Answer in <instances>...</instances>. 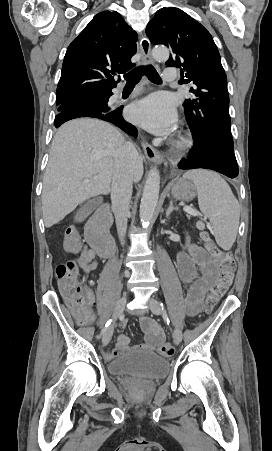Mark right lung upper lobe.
<instances>
[{"label":"right lung upper lobe","mask_w":272,"mask_h":451,"mask_svg":"<svg viewBox=\"0 0 272 451\" xmlns=\"http://www.w3.org/2000/svg\"><path fill=\"white\" fill-rule=\"evenodd\" d=\"M137 33L116 12L98 13L69 45L56 98L111 92L113 75L132 69Z\"/></svg>","instance_id":"right-lung-upper-lobe-1"}]
</instances>
